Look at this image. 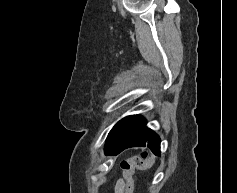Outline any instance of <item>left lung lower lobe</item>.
<instances>
[{
  "label": "left lung lower lobe",
  "instance_id": "1",
  "mask_svg": "<svg viewBox=\"0 0 237 193\" xmlns=\"http://www.w3.org/2000/svg\"><path fill=\"white\" fill-rule=\"evenodd\" d=\"M148 147L155 155H160V138L146 127V120L138 115L131 119L118 141L105 148L107 155L119 154L129 147Z\"/></svg>",
  "mask_w": 237,
  "mask_h": 193
}]
</instances>
